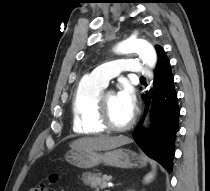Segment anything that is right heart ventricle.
<instances>
[{
  "label": "right heart ventricle",
  "mask_w": 210,
  "mask_h": 191,
  "mask_svg": "<svg viewBox=\"0 0 210 191\" xmlns=\"http://www.w3.org/2000/svg\"><path fill=\"white\" fill-rule=\"evenodd\" d=\"M104 87L90 78L79 82L72 101V127L76 134L98 135L105 131L97 120V101Z\"/></svg>",
  "instance_id": "e07e8e85"
}]
</instances>
